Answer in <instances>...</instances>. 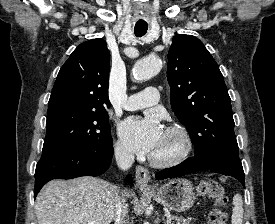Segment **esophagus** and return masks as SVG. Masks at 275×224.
<instances>
[{
	"mask_svg": "<svg viewBox=\"0 0 275 224\" xmlns=\"http://www.w3.org/2000/svg\"><path fill=\"white\" fill-rule=\"evenodd\" d=\"M136 181L140 188L149 187V171L147 168L140 165L136 167Z\"/></svg>",
	"mask_w": 275,
	"mask_h": 224,
	"instance_id": "1",
	"label": "esophagus"
}]
</instances>
